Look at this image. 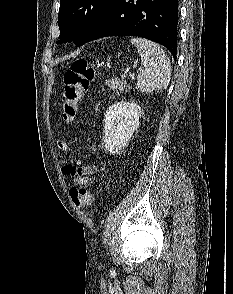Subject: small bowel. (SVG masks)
<instances>
[{
	"label": "small bowel",
	"instance_id": "1",
	"mask_svg": "<svg viewBox=\"0 0 233 294\" xmlns=\"http://www.w3.org/2000/svg\"><path fill=\"white\" fill-rule=\"evenodd\" d=\"M59 146L63 150H68V147L65 143H60ZM91 150L93 154L96 153L94 146L91 147ZM62 172L63 174L70 176L75 183L89 186L93 182L91 176L96 172V167H76L75 165L66 162L62 167Z\"/></svg>",
	"mask_w": 233,
	"mask_h": 294
}]
</instances>
